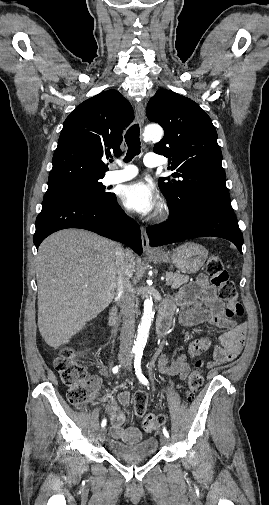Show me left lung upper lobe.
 Wrapping results in <instances>:
<instances>
[{
  "mask_svg": "<svg viewBox=\"0 0 269 505\" xmlns=\"http://www.w3.org/2000/svg\"><path fill=\"white\" fill-rule=\"evenodd\" d=\"M146 113L165 132L153 151L168 157V169L173 171L158 183L169 208L180 215L188 213L196 193L230 197L217 132L200 106L173 91L160 89L150 99Z\"/></svg>",
  "mask_w": 269,
  "mask_h": 505,
  "instance_id": "obj_1",
  "label": "left lung upper lobe"
}]
</instances>
